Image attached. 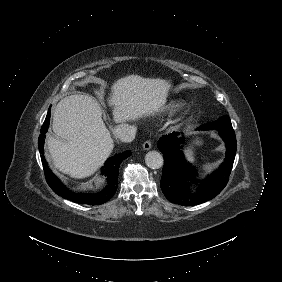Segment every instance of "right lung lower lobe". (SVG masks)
<instances>
[{
	"label": "right lung lower lobe",
	"instance_id": "1",
	"mask_svg": "<svg viewBox=\"0 0 282 282\" xmlns=\"http://www.w3.org/2000/svg\"><path fill=\"white\" fill-rule=\"evenodd\" d=\"M50 120V108L48 110L47 117L44 121V124L41 128V134L38 139V147L41 154L44 153V138L45 133L47 132ZM131 155V151L127 150L123 153L116 154L114 157L109 158L105 162V166L102 168V173H105L108 179V185L101 192L96 194H83V193H74L69 191L59 180L58 178L51 172L48 167V164L45 160V157L41 155V160L45 172V177L48 185L52 188V190L60 195L61 197L71 200L73 202L79 204H88V205H100L112 198L117 190L118 185V173L120 163Z\"/></svg>",
	"mask_w": 282,
	"mask_h": 282
}]
</instances>
